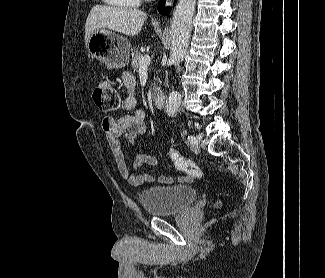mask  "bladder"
<instances>
[{"instance_id":"31cf9c89","label":"bladder","mask_w":325,"mask_h":278,"mask_svg":"<svg viewBox=\"0 0 325 278\" xmlns=\"http://www.w3.org/2000/svg\"><path fill=\"white\" fill-rule=\"evenodd\" d=\"M198 196L191 185L153 186L139 194V200L149 216L163 217L189 208Z\"/></svg>"}]
</instances>
